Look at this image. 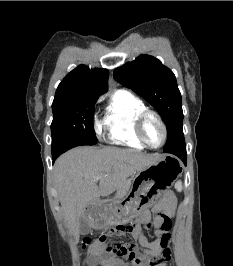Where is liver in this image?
<instances>
[{
	"label": "liver",
	"instance_id": "liver-1",
	"mask_svg": "<svg viewBox=\"0 0 233 266\" xmlns=\"http://www.w3.org/2000/svg\"><path fill=\"white\" fill-rule=\"evenodd\" d=\"M158 154H145L118 147H76L61 155L54 166L56 189L70 232L80 233V220L88 219L96 228L86 207L101 195L109 196L122 187L129 176L158 160ZM100 179H96V177ZM99 181V186L97 182Z\"/></svg>",
	"mask_w": 233,
	"mask_h": 266
}]
</instances>
